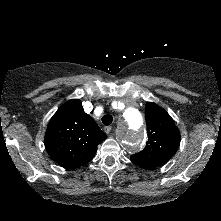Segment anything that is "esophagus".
<instances>
[{"mask_svg": "<svg viewBox=\"0 0 221 221\" xmlns=\"http://www.w3.org/2000/svg\"><path fill=\"white\" fill-rule=\"evenodd\" d=\"M111 130H112V127H111V126H105V127H104V131H105V133H107V134H109Z\"/></svg>", "mask_w": 221, "mask_h": 221, "instance_id": "34e87169", "label": "esophagus"}]
</instances>
